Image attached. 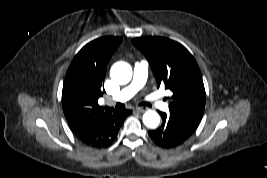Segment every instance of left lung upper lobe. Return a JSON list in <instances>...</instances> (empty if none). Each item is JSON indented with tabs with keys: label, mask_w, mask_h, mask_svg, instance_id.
<instances>
[{
	"label": "left lung upper lobe",
	"mask_w": 267,
	"mask_h": 178,
	"mask_svg": "<svg viewBox=\"0 0 267 178\" xmlns=\"http://www.w3.org/2000/svg\"><path fill=\"white\" fill-rule=\"evenodd\" d=\"M133 44L146 56L158 86L173 92L169 117L191 133L198 128L205 108V88L199 67L190 52L164 37H139Z\"/></svg>",
	"instance_id": "5c2ea615"
}]
</instances>
